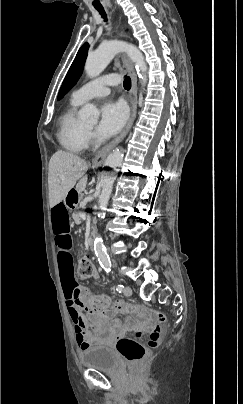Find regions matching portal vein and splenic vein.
I'll list each match as a JSON object with an SVG mask.
<instances>
[{
    "mask_svg": "<svg viewBox=\"0 0 243 404\" xmlns=\"http://www.w3.org/2000/svg\"><path fill=\"white\" fill-rule=\"evenodd\" d=\"M85 215V210L81 209L80 211H78V216H84Z\"/></svg>",
    "mask_w": 243,
    "mask_h": 404,
    "instance_id": "1",
    "label": "portal vein and splenic vein"
}]
</instances>
